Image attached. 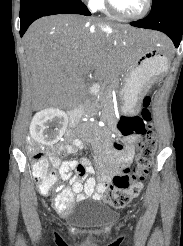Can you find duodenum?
Segmentation results:
<instances>
[{
	"mask_svg": "<svg viewBox=\"0 0 183 246\" xmlns=\"http://www.w3.org/2000/svg\"><path fill=\"white\" fill-rule=\"evenodd\" d=\"M100 92V87L98 85H91L88 88V98L89 100L94 99ZM82 113H85V104H77V108H74L68 113L70 124L75 125Z\"/></svg>",
	"mask_w": 183,
	"mask_h": 246,
	"instance_id": "obj_1",
	"label": "duodenum"
}]
</instances>
